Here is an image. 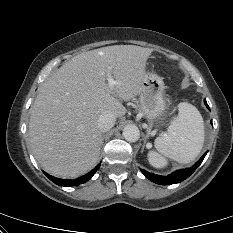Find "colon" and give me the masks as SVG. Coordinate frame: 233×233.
I'll return each mask as SVG.
<instances>
[{
	"label": "colon",
	"mask_w": 233,
	"mask_h": 233,
	"mask_svg": "<svg viewBox=\"0 0 233 233\" xmlns=\"http://www.w3.org/2000/svg\"><path fill=\"white\" fill-rule=\"evenodd\" d=\"M149 160L156 168H164L167 165L166 159L155 151L149 152Z\"/></svg>",
	"instance_id": "1"
}]
</instances>
